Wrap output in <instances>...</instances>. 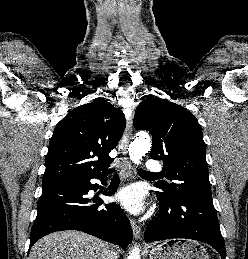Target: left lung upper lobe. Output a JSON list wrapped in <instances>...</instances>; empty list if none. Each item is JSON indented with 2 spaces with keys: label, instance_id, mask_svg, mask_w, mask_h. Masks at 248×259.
<instances>
[{
  "label": "left lung upper lobe",
  "instance_id": "1",
  "mask_svg": "<svg viewBox=\"0 0 248 259\" xmlns=\"http://www.w3.org/2000/svg\"><path fill=\"white\" fill-rule=\"evenodd\" d=\"M134 127L152 134L150 156L163 160L166 178L173 181L157 182L159 194L168 199L212 201L203 134L191 112L147 96L136 109Z\"/></svg>",
  "mask_w": 248,
  "mask_h": 259
}]
</instances>
